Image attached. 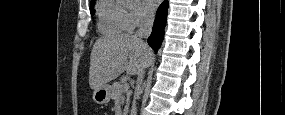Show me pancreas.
Segmentation results:
<instances>
[{"label": "pancreas", "instance_id": "1", "mask_svg": "<svg viewBox=\"0 0 285 115\" xmlns=\"http://www.w3.org/2000/svg\"><path fill=\"white\" fill-rule=\"evenodd\" d=\"M111 90H112V94H111V97L114 101H119L120 100V97L123 93H126V106H125V109L128 108V105H129V98H130V95H131V91L129 90V86H126L125 84H122L120 82H115L112 87H111Z\"/></svg>", "mask_w": 285, "mask_h": 115}]
</instances>
